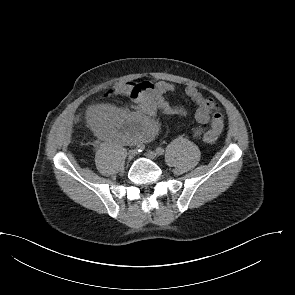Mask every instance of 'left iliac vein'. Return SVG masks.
Returning <instances> with one entry per match:
<instances>
[{"label": "left iliac vein", "instance_id": "obj_1", "mask_svg": "<svg viewBox=\"0 0 295 295\" xmlns=\"http://www.w3.org/2000/svg\"><path fill=\"white\" fill-rule=\"evenodd\" d=\"M145 156L151 160H155L157 157V154L154 151L148 150Z\"/></svg>", "mask_w": 295, "mask_h": 295}]
</instances>
